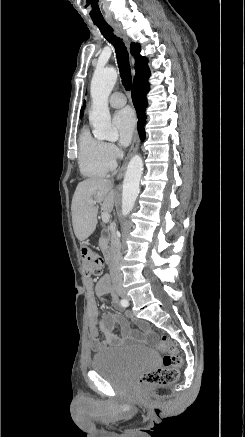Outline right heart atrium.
<instances>
[{
    "label": "right heart atrium",
    "mask_w": 245,
    "mask_h": 437,
    "mask_svg": "<svg viewBox=\"0 0 245 437\" xmlns=\"http://www.w3.org/2000/svg\"><path fill=\"white\" fill-rule=\"evenodd\" d=\"M104 156L108 165L114 168L120 157V149L113 143H104Z\"/></svg>",
    "instance_id": "right-heart-atrium-1"
}]
</instances>
